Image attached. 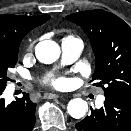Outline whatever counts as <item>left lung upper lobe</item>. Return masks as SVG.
Instances as JSON below:
<instances>
[{"instance_id":"obj_1","label":"left lung upper lobe","mask_w":131,"mask_h":131,"mask_svg":"<svg viewBox=\"0 0 131 131\" xmlns=\"http://www.w3.org/2000/svg\"><path fill=\"white\" fill-rule=\"evenodd\" d=\"M79 25L90 39L96 57L93 80L104 95L131 101V28L116 15L91 10L66 17Z\"/></svg>"}]
</instances>
